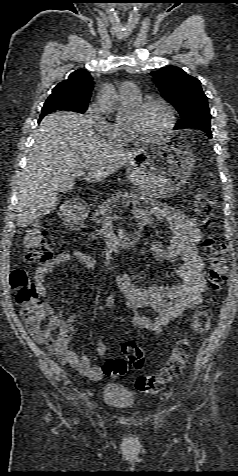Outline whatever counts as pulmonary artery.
<instances>
[{"mask_svg": "<svg viewBox=\"0 0 238 476\" xmlns=\"http://www.w3.org/2000/svg\"><path fill=\"white\" fill-rule=\"evenodd\" d=\"M120 94L122 98L137 100L140 98V90L132 82H125L120 86Z\"/></svg>", "mask_w": 238, "mask_h": 476, "instance_id": "e3ab8cb5", "label": "pulmonary artery"}]
</instances>
